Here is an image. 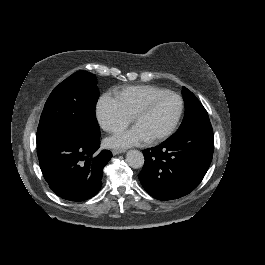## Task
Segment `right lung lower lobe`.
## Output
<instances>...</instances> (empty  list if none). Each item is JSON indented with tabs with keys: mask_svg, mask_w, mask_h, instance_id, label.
Returning <instances> with one entry per match:
<instances>
[{
	"mask_svg": "<svg viewBox=\"0 0 265 265\" xmlns=\"http://www.w3.org/2000/svg\"><path fill=\"white\" fill-rule=\"evenodd\" d=\"M100 147V136L69 133L47 136L37 142L44 179L51 190L69 201H84L101 188L103 168L112 157Z\"/></svg>",
	"mask_w": 265,
	"mask_h": 265,
	"instance_id": "1",
	"label": "right lung lower lobe"
}]
</instances>
